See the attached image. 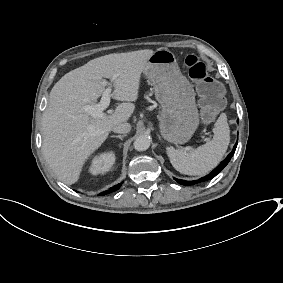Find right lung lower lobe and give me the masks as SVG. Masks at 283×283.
<instances>
[{
	"label": "right lung lower lobe",
	"instance_id": "98d812e1",
	"mask_svg": "<svg viewBox=\"0 0 283 283\" xmlns=\"http://www.w3.org/2000/svg\"><path fill=\"white\" fill-rule=\"evenodd\" d=\"M122 183H123V182H121L120 184H118V185H116V186L111 187L109 190H107V191H105V192H102V193H100L99 195H100V196H103V195H106V194H109V193H111V192H114V191L118 190V189L121 187Z\"/></svg>",
	"mask_w": 283,
	"mask_h": 283
}]
</instances>
